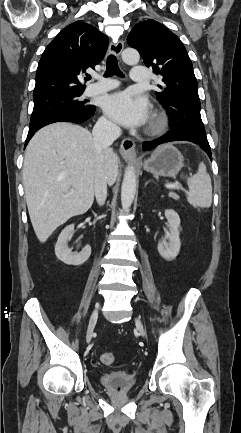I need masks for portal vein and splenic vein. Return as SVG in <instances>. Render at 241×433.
<instances>
[{"label":"portal vein and splenic vein","instance_id":"18ae733b","mask_svg":"<svg viewBox=\"0 0 241 433\" xmlns=\"http://www.w3.org/2000/svg\"><path fill=\"white\" fill-rule=\"evenodd\" d=\"M165 187L168 188V189H171V190H173V189H179V188H180V186H179L177 183L166 184ZM69 193H70V194H74V193H75V190H74V189H71Z\"/></svg>","mask_w":241,"mask_h":433}]
</instances>
